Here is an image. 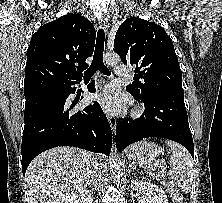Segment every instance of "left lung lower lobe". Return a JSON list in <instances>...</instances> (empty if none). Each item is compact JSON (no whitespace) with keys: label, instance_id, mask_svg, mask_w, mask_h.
Instances as JSON below:
<instances>
[{"label":"left lung lower lobe","instance_id":"obj_1","mask_svg":"<svg viewBox=\"0 0 222 203\" xmlns=\"http://www.w3.org/2000/svg\"><path fill=\"white\" fill-rule=\"evenodd\" d=\"M144 114L135 120H119L116 146L119 151L149 137H163L183 145L194 158V145L188 124L184 93L162 90L142 100Z\"/></svg>","mask_w":222,"mask_h":203}]
</instances>
